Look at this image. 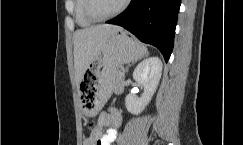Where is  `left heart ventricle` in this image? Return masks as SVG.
Segmentation results:
<instances>
[{
  "instance_id": "obj_1",
  "label": "left heart ventricle",
  "mask_w": 243,
  "mask_h": 145,
  "mask_svg": "<svg viewBox=\"0 0 243 145\" xmlns=\"http://www.w3.org/2000/svg\"><path fill=\"white\" fill-rule=\"evenodd\" d=\"M124 0H93V11L97 16H107L116 11Z\"/></svg>"
}]
</instances>
